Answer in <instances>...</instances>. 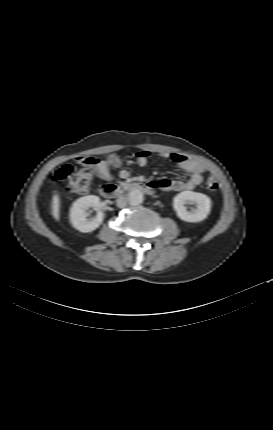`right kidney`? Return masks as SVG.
Returning a JSON list of instances; mask_svg holds the SVG:
<instances>
[{
    "mask_svg": "<svg viewBox=\"0 0 273 430\" xmlns=\"http://www.w3.org/2000/svg\"><path fill=\"white\" fill-rule=\"evenodd\" d=\"M98 210L96 217L87 218V210L90 208ZM104 213L101 211V202L98 196L89 195L77 199L70 209V221L72 226L83 233L92 232L102 223Z\"/></svg>",
    "mask_w": 273,
    "mask_h": 430,
    "instance_id": "1",
    "label": "right kidney"
}]
</instances>
